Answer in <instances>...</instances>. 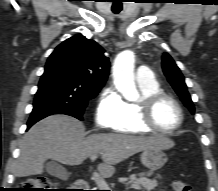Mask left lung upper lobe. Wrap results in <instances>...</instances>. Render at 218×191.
<instances>
[{
  "label": "left lung upper lobe",
  "mask_w": 218,
  "mask_h": 191,
  "mask_svg": "<svg viewBox=\"0 0 218 191\" xmlns=\"http://www.w3.org/2000/svg\"><path fill=\"white\" fill-rule=\"evenodd\" d=\"M162 67L165 76L181 98L182 102L192 113H194V105L187 91L184 77L175 61L167 53H165L162 57Z\"/></svg>",
  "instance_id": "left-lung-upper-lobe-1"
}]
</instances>
